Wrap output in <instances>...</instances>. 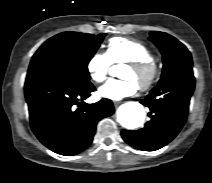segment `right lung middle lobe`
Listing matches in <instances>:
<instances>
[{"label":"right lung middle lobe","instance_id":"dd1d6c3e","mask_svg":"<svg viewBox=\"0 0 212 183\" xmlns=\"http://www.w3.org/2000/svg\"><path fill=\"white\" fill-rule=\"evenodd\" d=\"M105 36L78 32L53 36L32 57L26 80L89 81L88 63Z\"/></svg>","mask_w":212,"mask_h":183}]
</instances>
